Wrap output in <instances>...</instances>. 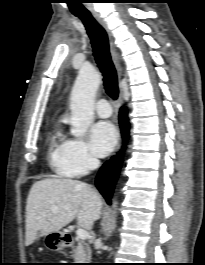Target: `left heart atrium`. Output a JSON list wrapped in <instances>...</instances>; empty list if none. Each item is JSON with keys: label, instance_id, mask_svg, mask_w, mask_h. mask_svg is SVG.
Masks as SVG:
<instances>
[{"label": "left heart atrium", "instance_id": "1", "mask_svg": "<svg viewBox=\"0 0 205 265\" xmlns=\"http://www.w3.org/2000/svg\"><path fill=\"white\" fill-rule=\"evenodd\" d=\"M90 139L93 153L103 157L115 147L117 131L112 123L101 121L92 127Z\"/></svg>", "mask_w": 205, "mask_h": 265}]
</instances>
